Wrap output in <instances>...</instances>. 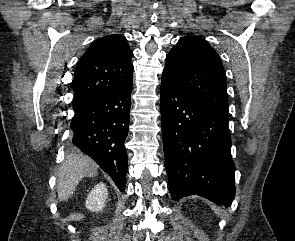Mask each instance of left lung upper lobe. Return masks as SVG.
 <instances>
[{
    "label": "left lung upper lobe",
    "mask_w": 295,
    "mask_h": 241,
    "mask_svg": "<svg viewBox=\"0 0 295 241\" xmlns=\"http://www.w3.org/2000/svg\"><path fill=\"white\" fill-rule=\"evenodd\" d=\"M163 75L190 96L229 114L222 62L203 38H180L166 57Z\"/></svg>",
    "instance_id": "5c2ea615"
}]
</instances>
